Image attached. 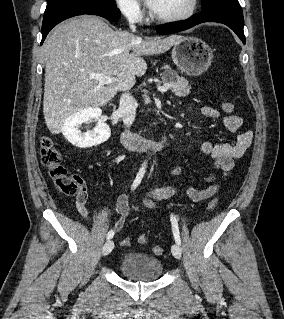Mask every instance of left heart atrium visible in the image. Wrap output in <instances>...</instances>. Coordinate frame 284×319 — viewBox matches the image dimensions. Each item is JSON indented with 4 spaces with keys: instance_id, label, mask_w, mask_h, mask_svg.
Wrapping results in <instances>:
<instances>
[{
    "instance_id": "39dd6f15",
    "label": "left heart atrium",
    "mask_w": 284,
    "mask_h": 319,
    "mask_svg": "<svg viewBox=\"0 0 284 319\" xmlns=\"http://www.w3.org/2000/svg\"><path fill=\"white\" fill-rule=\"evenodd\" d=\"M144 1L151 9H154L158 0H144Z\"/></svg>"
}]
</instances>
